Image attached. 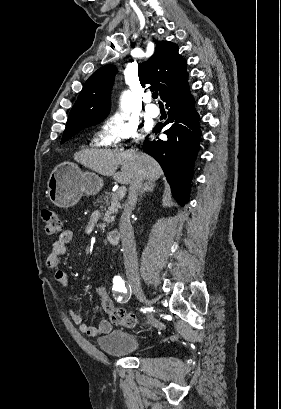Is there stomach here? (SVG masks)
<instances>
[{
	"mask_svg": "<svg viewBox=\"0 0 281 409\" xmlns=\"http://www.w3.org/2000/svg\"><path fill=\"white\" fill-rule=\"evenodd\" d=\"M103 180L94 172H83L75 162H60L52 170L48 182V196L56 207L68 209L84 194H96Z\"/></svg>",
	"mask_w": 281,
	"mask_h": 409,
	"instance_id": "stomach-1",
	"label": "stomach"
}]
</instances>
